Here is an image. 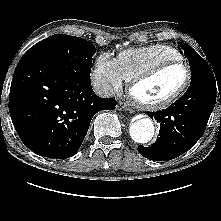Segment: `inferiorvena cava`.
<instances>
[{
  "label": "inferior vena cava",
  "instance_id": "inferior-vena-cava-1",
  "mask_svg": "<svg viewBox=\"0 0 221 221\" xmlns=\"http://www.w3.org/2000/svg\"><path fill=\"white\" fill-rule=\"evenodd\" d=\"M93 87L95 93L100 97L109 98L114 94L113 88L106 82H95Z\"/></svg>",
  "mask_w": 221,
  "mask_h": 221
}]
</instances>
